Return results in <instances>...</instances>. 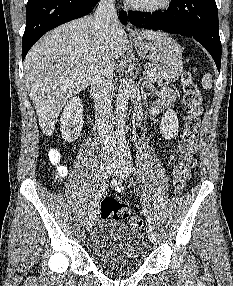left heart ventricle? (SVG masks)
Instances as JSON below:
<instances>
[{"label": "left heart ventricle", "mask_w": 233, "mask_h": 286, "mask_svg": "<svg viewBox=\"0 0 233 286\" xmlns=\"http://www.w3.org/2000/svg\"><path fill=\"white\" fill-rule=\"evenodd\" d=\"M161 0H136L135 3L143 4V5H154L159 3Z\"/></svg>", "instance_id": "1"}]
</instances>
